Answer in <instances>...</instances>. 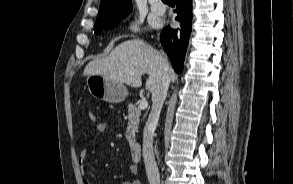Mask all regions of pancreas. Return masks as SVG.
Here are the masks:
<instances>
[{
    "mask_svg": "<svg viewBox=\"0 0 293 184\" xmlns=\"http://www.w3.org/2000/svg\"><path fill=\"white\" fill-rule=\"evenodd\" d=\"M129 122L126 130V139L132 143L135 139V133L138 131V124L140 120L141 111L136 105L130 103L127 107Z\"/></svg>",
    "mask_w": 293,
    "mask_h": 184,
    "instance_id": "1",
    "label": "pancreas"
}]
</instances>
